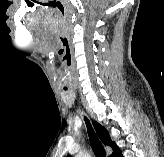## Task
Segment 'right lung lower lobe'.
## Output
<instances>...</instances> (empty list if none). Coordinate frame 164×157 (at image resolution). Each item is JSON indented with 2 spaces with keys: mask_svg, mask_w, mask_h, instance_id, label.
<instances>
[{
  "mask_svg": "<svg viewBox=\"0 0 164 157\" xmlns=\"http://www.w3.org/2000/svg\"><path fill=\"white\" fill-rule=\"evenodd\" d=\"M111 157H123L121 150L118 148V146L113 150V154Z\"/></svg>",
  "mask_w": 164,
  "mask_h": 157,
  "instance_id": "right-lung-lower-lobe-1",
  "label": "right lung lower lobe"
}]
</instances>
